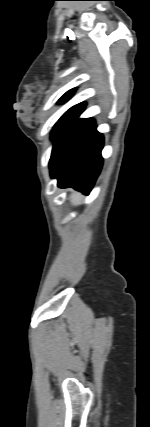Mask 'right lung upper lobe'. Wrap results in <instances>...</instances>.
<instances>
[{"label": "right lung upper lobe", "instance_id": "cb5924a9", "mask_svg": "<svg viewBox=\"0 0 150 427\" xmlns=\"http://www.w3.org/2000/svg\"><path fill=\"white\" fill-rule=\"evenodd\" d=\"M74 92H75V89H72V90H70V91H68V92H66L61 98H60V100H59V103H63V102H65V101H67L73 94H74ZM84 108H85V103H80V104H77V105H75V106H73L71 109H73V110H80V111H83L84 110Z\"/></svg>", "mask_w": 150, "mask_h": 427}]
</instances>
